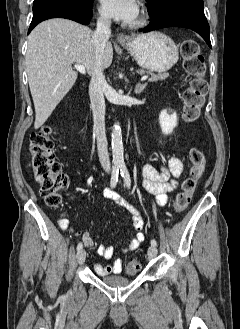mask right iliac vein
<instances>
[{"instance_id":"right-iliac-vein-1","label":"right iliac vein","mask_w":240,"mask_h":329,"mask_svg":"<svg viewBox=\"0 0 240 329\" xmlns=\"http://www.w3.org/2000/svg\"><path fill=\"white\" fill-rule=\"evenodd\" d=\"M77 262L79 264H82L84 261H85V258H86V251L85 250H80L78 253H77Z\"/></svg>"}]
</instances>
